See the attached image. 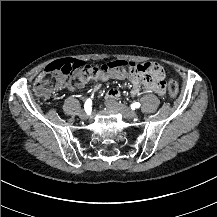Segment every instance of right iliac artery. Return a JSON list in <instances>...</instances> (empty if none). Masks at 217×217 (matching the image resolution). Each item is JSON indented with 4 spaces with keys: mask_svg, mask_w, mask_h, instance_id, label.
I'll list each match as a JSON object with an SVG mask.
<instances>
[{
    "mask_svg": "<svg viewBox=\"0 0 217 217\" xmlns=\"http://www.w3.org/2000/svg\"><path fill=\"white\" fill-rule=\"evenodd\" d=\"M91 106H92V101L89 98V99L86 100V102L84 104V109H85V111H86L87 114L91 112V110H92Z\"/></svg>",
    "mask_w": 217,
    "mask_h": 217,
    "instance_id": "1",
    "label": "right iliac artery"
}]
</instances>
